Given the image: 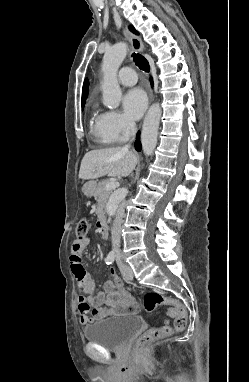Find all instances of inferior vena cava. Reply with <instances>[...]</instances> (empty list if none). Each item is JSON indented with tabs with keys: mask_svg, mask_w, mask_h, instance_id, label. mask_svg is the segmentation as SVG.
Masks as SVG:
<instances>
[{
	"mask_svg": "<svg viewBox=\"0 0 249 382\" xmlns=\"http://www.w3.org/2000/svg\"><path fill=\"white\" fill-rule=\"evenodd\" d=\"M130 129H131V134L132 136L135 135L136 133V124L134 122L130 123ZM134 139V138H133ZM130 148V144H127L123 147L124 150H128ZM124 215V209L123 208H118L116 215H115V220L113 222V226L111 229V240H112V247L113 251L115 252V257L117 259H120V239H121V223H122V218Z\"/></svg>",
	"mask_w": 249,
	"mask_h": 382,
	"instance_id": "inferior-vena-cava-1",
	"label": "inferior vena cava"
}]
</instances>
